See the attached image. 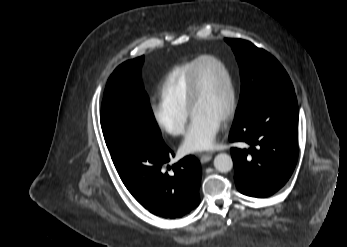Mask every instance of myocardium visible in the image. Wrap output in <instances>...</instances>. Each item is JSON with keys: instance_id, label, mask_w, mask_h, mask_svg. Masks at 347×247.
Instances as JSON below:
<instances>
[{"instance_id": "myocardium-1", "label": "myocardium", "mask_w": 347, "mask_h": 247, "mask_svg": "<svg viewBox=\"0 0 347 247\" xmlns=\"http://www.w3.org/2000/svg\"><path fill=\"white\" fill-rule=\"evenodd\" d=\"M204 61H212L217 64L225 73L228 87H229V103L227 110L222 118L223 122L229 121L235 114L237 107V92L236 86L234 82V78L228 66L222 61L220 58L213 55H203L198 58L196 64L194 65L191 74L190 81L188 85V93H187V107L190 114H192L193 107L198 100L199 97V79H198V69L202 62Z\"/></svg>"}]
</instances>
